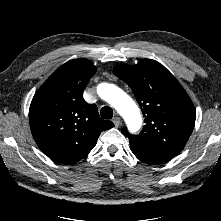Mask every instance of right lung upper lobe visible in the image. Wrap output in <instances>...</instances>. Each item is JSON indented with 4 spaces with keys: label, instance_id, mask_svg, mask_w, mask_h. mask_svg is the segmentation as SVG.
Wrapping results in <instances>:
<instances>
[{
    "label": "right lung upper lobe",
    "instance_id": "obj_1",
    "mask_svg": "<svg viewBox=\"0 0 221 221\" xmlns=\"http://www.w3.org/2000/svg\"><path fill=\"white\" fill-rule=\"evenodd\" d=\"M96 67L85 58L58 68L35 93L29 122L38 147L52 160L73 164L89 154L102 131L114 126L83 99Z\"/></svg>",
    "mask_w": 221,
    "mask_h": 221
}]
</instances>
